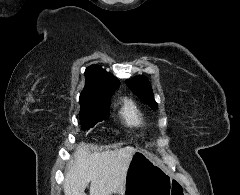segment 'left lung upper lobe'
<instances>
[{
    "label": "left lung upper lobe",
    "mask_w": 240,
    "mask_h": 195,
    "mask_svg": "<svg viewBox=\"0 0 240 195\" xmlns=\"http://www.w3.org/2000/svg\"><path fill=\"white\" fill-rule=\"evenodd\" d=\"M126 84L142 102L147 103L153 110L158 108L151 85L145 76H136L126 80Z\"/></svg>",
    "instance_id": "1"
}]
</instances>
